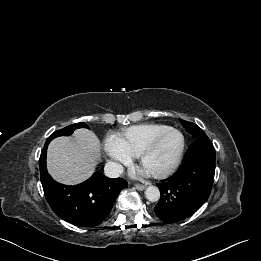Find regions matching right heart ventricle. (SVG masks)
I'll use <instances>...</instances> for the list:
<instances>
[{
  "mask_svg": "<svg viewBox=\"0 0 261 261\" xmlns=\"http://www.w3.org/2000/svg\"><path fill=\"white\" fill-rule=\"evenodd\" d=\"M169 128L164 124L146 123L127 128L115 136L120 146L131 157H137L144 147L160 132Z\"/></svg>",
  "mask_w": 261,
  "mask_h": 261,
  "instance_id": "right-heart-ventricle-1",
  "label": "right heart ventricle"
}]
</instances>
